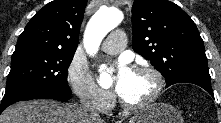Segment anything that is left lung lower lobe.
Masks as SVG:
<instances>
[{"mask_svg":"<svg viewBox=\"0 0 221 123\" xmlns=\"http://www.w3.org/2000/svg\"><path fill=\"white\" fill-rule=\"evenodd\" d=\"M176 83H192L196 84L203 89H205L212 97H214L213 92H212V87H211V82L208 79H203L199 77H186L182 79H178L176 81H173L169 84L166 85V87H169L170 85L176 84Z\"/></svg>","mask_w":221,"mask_h":123,"instance_id":"0a47b994","label":"left lung lower lobe"}]
</instances>
